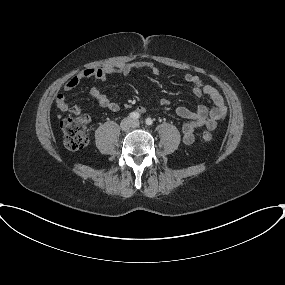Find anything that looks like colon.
I'll list each match as a JSON object with an SVG mask.
<instances>
[{
    "label": "colon",
    "instance_id": "5ec220e1",
    "mask_svg": "<svg viewBox=\"0 0 285 285\" xmlns=\"http://www.w3.org/2000/svg\"><path fill=\"white\" fill-rule=\"evenodd\" d=\"M86 124L87 118L85 116L65 117L61 121L64 143L68 149L80 150L88 144L89 133ZM201 137L205 142H210L213 139V135L209 130H204Z\"/></svg>",
    "mask_w": 285,
    "mask_h": 285
}]
</instances>
